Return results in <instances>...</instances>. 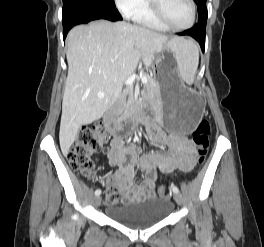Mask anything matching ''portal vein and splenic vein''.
Masks as SVG:
<instances>
[{
    "mask_svg": "<svg viewBox=\"0 0 264 247\" xmlns=\"http://www.w3.org/2000/svg\"><path fill=\"white\" fill-rule=\"evenodd\" d=\"M136 80L141 81V83H143V84H146L148 82V79L146 76L137 77V76L133 75L125 81V85H132ZM98 98H100V99L104 98V94L98 93Z\"/></svg>",
    "mask_w": 264,
    "mask_h": 247,
    "instance_id": "1",
    "label": "portal vein and splenic vein"
}]
</instances>
